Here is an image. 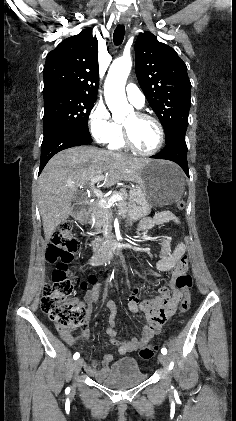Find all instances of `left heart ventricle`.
<instances>
[{
	"mask_svg": "<svg viewBox=\"0 0 236 421\" xmlns=\"http://www.w3.org/2000/svg\"><path fill=\"white\" fill-rule=\"evenodd\" d=\"M122 124L127 128L134 145L142 151L154 149L158 141L156 126L146 119L138 118L135 112Z\"/></svg>",
	"mask_w": 236,
	"mask_h": 421,
	"instance_id": "left-heart-ventricle-1",
	"label": "left heart ventricle"
}]
</instances>
